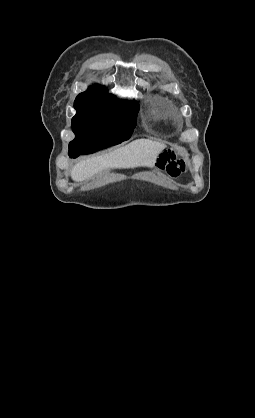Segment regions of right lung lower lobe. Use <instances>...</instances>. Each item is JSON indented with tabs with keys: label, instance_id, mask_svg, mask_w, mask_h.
I'll use <instances>...</instances> for the list:
<instances>
[{
	"label": "right lung lower lobe",
	"instance_id": "98d812e1",
	"mask_svg": "<svg viewBox=\"0 0 255 418\" xmlns=\"http://www.w3.org/2000/svg\"><path fill=\"white\" fill-rule=\"evenodd\" d=\"M69 155H70V157H73V155H72V154H70V153H69Z\"/></svg>",
	"mask_w": 255,
	"mask_h": 418
}]
</instances>
